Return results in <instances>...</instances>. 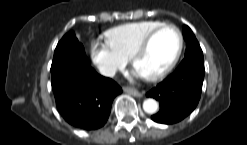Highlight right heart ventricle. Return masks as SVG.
Here are the masks:
<instances>
[{"label": "right heart ventricle", "mask_w": 247, "mask_h": 145, "mask_svg": "<svg viewBox=\"0 0 247 145\" xmlns=\"http://www.w3.org/2000/svg\"><path fill=\"white\" fill-rule=\"evenodd\" d=\"M162 24L152 20L125 23L109 29L106 32L107 41L125 58H129L143 38Z\"/></svg>", "instance_id": "obj_1"}]
</instances>
